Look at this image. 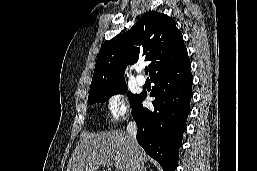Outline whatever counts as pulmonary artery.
<instances>
[{"label": "pulmonary artery", "instance_id": "1", "mask_svg": "<svg viewBox=\"0 0 257 171\" xmlns=\"http://www.w3.org/2000/svg\"><path fill=\"white\" fill-rule=\"evenodd\" d=\"M138 72H140V69H138ZM136 83L139 86H143L145 84V78L142 75H137L136 77Z\"/></svg>", "mask_w": 257, "mask_h": 171}]
</instances>
